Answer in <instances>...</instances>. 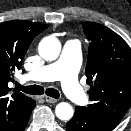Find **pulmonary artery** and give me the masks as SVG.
<instances>
[{
    "instance_id": "pulmonary-artery-1",
    "label": "pulmonary artery",
    "mask_w": 131,
    "mask_h": 131,
    "mask_svg": "<svg viewBox=\"0 0 131 131\" xmlns=\"http://www.w3.org/2000/svg\"><path fill=\"white\" fill-rule=\"evenodd\" d=\"M80 62L81 44L77 40H69L56 61L26 73L24 79L34 82L59 80L66 95L73 102L84 105L89 98L77 80Z\"/></svg>"
}]
</instances>
